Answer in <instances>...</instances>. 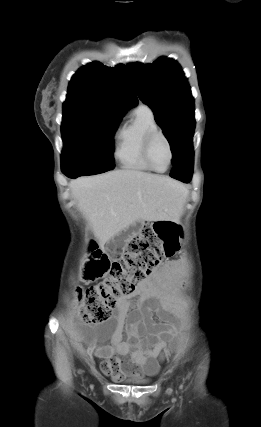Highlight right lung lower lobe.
<instances>
[{
	"label": "right lung lower lobe",
	"instance_id": "1",
	"mask_svg": "<svg viewBox=\"0 0 261 427\" xmlns=\"http://www.w3.org/2000/svg\"><path fill=\"white\" fill-rule=\"evenodd\" d=\"M66 176H68V177H70V178H76V177H78L79 175H77V174H67Z\"/></svg>",
	"mask_w": 261,
	"mask_h": 427
}]
</instances>
